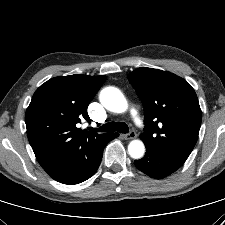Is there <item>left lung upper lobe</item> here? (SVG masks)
Segmentation results:
<instances>
[{
	"instance_id": "1",
	"label": "left lung upper lobe",
	"mask_w": 225,
	"mask_h": 225,
	"mask_svg": "<svg viewBox=\"0 0 225 225\" xmlns=\"http://www.w3.org/2000/svg\"><path fill=\"white\" fill-rule=\"evenodd\" d=\"M128 80L144 105V144L185 162L202 119L194 89L173 73L146 67L131 72Z\"/></svg>"
}]
</instances>
